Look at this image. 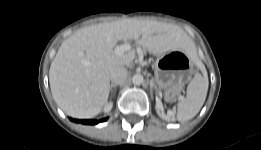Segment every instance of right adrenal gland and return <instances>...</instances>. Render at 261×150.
<instances>
[{"mask_svg":"<svg viewBox=\"0 0 261 150\" xmlns=\"http://www.w3.org/2000/svg\"><path fill=\"white\" fill-rule=\"evenodd\" d=\"M118 86V84H111V86H110V91H111V93L113 92V89H115V91H114V95H115V93H116V87Z\"/></svg>","mask_w":261,"mask_h":150,"instance_id":"right-adrenal-gland-1","label":"right adrenal gland"}]
</instances>
